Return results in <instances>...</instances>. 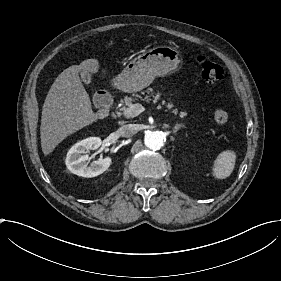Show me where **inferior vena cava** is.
<instances>
[{"mask_svg": "<svg viewBox=\"0 0 281 281\" xmlns=\"http://www.w3.org/2000/svg\"><path fill=\"white\" fill-rule=\"evenodd\" d=\"M118 133L122 137H131L137 133V127L134 124L123 125L118 129Z\"/></svg>", "mask_w": 281, "mask_h": 281, "instance_id": "1", "label": "inferior vena cava"}]
</instances>
